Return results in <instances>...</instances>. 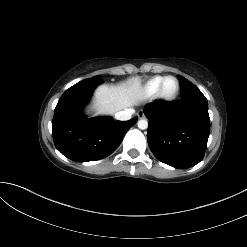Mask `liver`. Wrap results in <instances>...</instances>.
Wrapping results in <instances>:
<instances>
[{"instance_id":"liver-1","label":"liver","mask_w":247,"mask_h":247,"mask_svg":"<svg viewBox=\"0 0 247 247\" xmlns=\"http://www.w3.org/2000/svg\"><path fill=\"white\" fill-rule=\"evenodd\" d=\"M142 96L140 78H132L125 84L108 87L99 86L94 95L93 105L90 107L99 114H113L134 105Z\"/></svg>"}]
</instances>
